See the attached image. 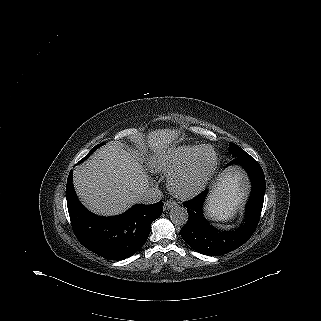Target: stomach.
<instances>
[{"instance_id": "obj_1", "label": "stomach", "mask_w": 321, "mask_h": 321, "mask_svg": "<svg viewBox=\"0 0 321 321\" xmlns=\"http://www.w3.org/2000/svg\"><path fill=\"white\" fill-rule=\"evenodd\" d=\"M221 190L223 192H227L225 199L228 198L230 202L236 203L234 206V209H235V207L243 199V196L245 195V190H246L244 182L241 178V175L237 170L228 171L220 178L218 187L214 190L212 194V198L216 197V195Z\"/></svg>"}]
</instances>
